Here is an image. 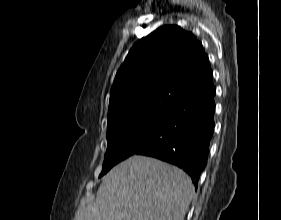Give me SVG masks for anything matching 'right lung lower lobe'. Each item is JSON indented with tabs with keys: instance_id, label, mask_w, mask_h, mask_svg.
Listing matches in <instances>:
<instances>
[{
	"instance_id": "98d812e1",
	"label": "right lung lower lobe",
	"mask_w": 281,
	"mask_h": 220,
	"mask_svg": "<svg viewBox=\"0 0 281 220\" xmlns=\"http://www.w3.org/2000/svg\"><path fill=\"white\" fill-rule=\"evenodd\" d=\"M214 86L181 100L162 126L134 154L154 157L182 168L197 188L207 164L214 132Z\"/></svg>"
}]
</instances>
